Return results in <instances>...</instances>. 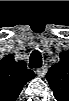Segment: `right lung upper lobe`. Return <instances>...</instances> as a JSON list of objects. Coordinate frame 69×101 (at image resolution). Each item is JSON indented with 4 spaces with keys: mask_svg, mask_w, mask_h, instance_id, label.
<instances>
[{
    "mask_svg": "<svg viewBox=\"0 0 69 101\" xmlns=\"http://www.w3.org/2000/svg\"><path fill=\"white\" fill-rule=\"evenodd\" d=\"M34 77V72L27 69L26 63L16 62L12 54L0 60V91L9 99L16 100L23 86Z\"/></svg>",
    "mask_w": 69,
    "mask_h": 101,
    "instance_id": "right-lung-upper-lobe-1",
    "label": "right lung upper lobe"
}]
</instances>
